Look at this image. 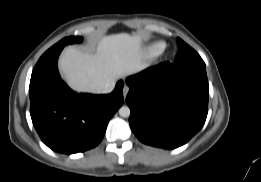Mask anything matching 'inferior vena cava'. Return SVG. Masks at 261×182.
I'll use <instances>...</instances> for the list:
<instances>
[{"instance_id": "602c4592", "label": "inferior vena cava", "mask_w": 261, "mask_h": 182, "mask_svg": "<svg viewBox=\"0 0 261 182\" xmlns=\"http://www.w3.org/2000/svg\"><path fill=\"white\" fill-rule=\"evenodd\" d=\"M114 89V83H109L99 89V93H110Z\"/></svg>"}]
</instances>
